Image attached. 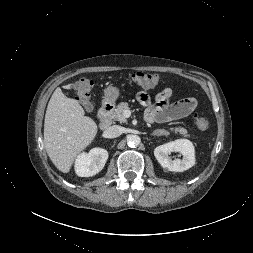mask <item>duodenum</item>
Returning a JSON list of instances; mask_svg holds the SVG:
<instances>
[{
	"mask_svg": "<svg viewBox=\"0 0 253 253\" xmlns=\"http://www.w3.org/2000/svg\"><path fill=\"white\" fill-rule=\"evenodd\" d=\"M113 111V105L109 102H105L98 112V125L101 129H106L111 124V114Z\"/></svg>",
	"mask_w": 253,
	"mask_h": 253,
	"instance_id": "obj_1",
	"label": "duodenum"
}]
</instances>
